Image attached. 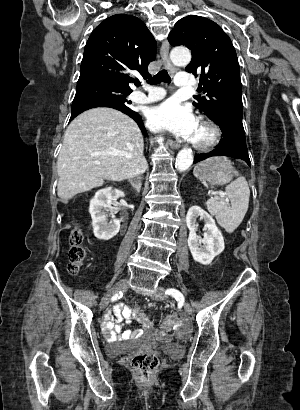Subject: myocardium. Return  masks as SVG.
<instances>
[{
  "label": "myocardium",
  "mask_w": 300,
  "mask_h": 410,
  "mask_svg": "<svg viewBox=\"0 0 300 410\" xmlns=\"http://www.w3.org/2000/svg\"><path fill=\"white\" fill-rule=\"evenodd\" d=\"M199 124L202 127L209 130L210 136L204 142L192 141L191 144L193 148H195L196 150H200V151H207V150L214 148L221 140V137H222L221 128L216 122L206 117H201L199 119Z\"/></svg>",
  "instance_id": "obj_1"
}]
</instances>
